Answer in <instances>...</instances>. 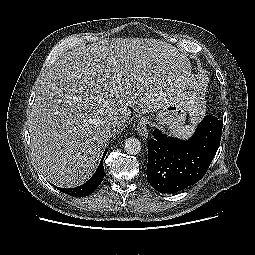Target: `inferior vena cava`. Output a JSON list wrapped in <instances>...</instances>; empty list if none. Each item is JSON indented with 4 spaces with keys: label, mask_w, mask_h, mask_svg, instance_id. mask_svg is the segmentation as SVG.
Segmentation results:
<instances>
[{
    "label": "inferior vena cava",
    "mask_w": 255,
    "mask_h": 255,
    "mask_svg": "<svg viewBox=\"0 0 255 255\" xmlns=\"http://www.w3.org/2000/svg\"><path fill=\"white\" fill-rule=\"evenodd\" d=\"M119 120L117 118H114L110 121V127L112 131H116L115 127L119 125Z\"/></svg>",
    "instance_id": "602c4592"
}]
</instances>
